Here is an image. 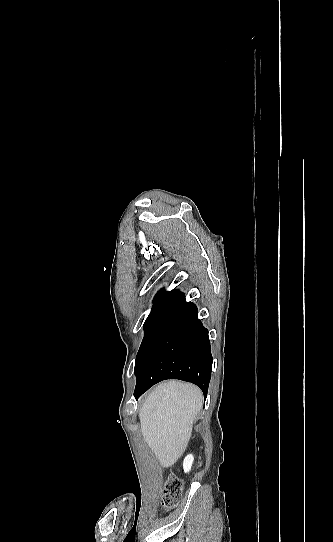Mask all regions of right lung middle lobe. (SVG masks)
I'll return each mask as SVG.
<instances>
[{
    "label": "right lung middle lobe",
    "instance_id": "right-lung-middle-lobe-1",
    "mask_svg": "<svg viewBox=\"0 0 333 542\" xmlns=\"http://www.w3.org/2000/svg\"><path fill=\"white\" fill-rule=\"evenodd\" d=\"M155 307H156V304L153 305V310H154ZM153 310H152V311H153ZM149 316H150V315H149ZM149 316H148V318H147V320H146V322H145V324H144V329H145V326H146L147 321H148V319H149Z\"/></svg>",
    "mask_w": 333,
    "mask_h": 542
}]
</instances>
